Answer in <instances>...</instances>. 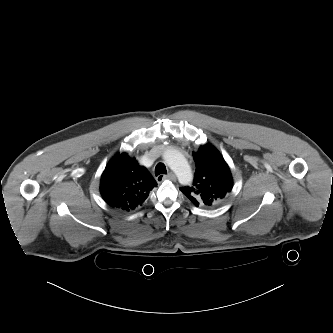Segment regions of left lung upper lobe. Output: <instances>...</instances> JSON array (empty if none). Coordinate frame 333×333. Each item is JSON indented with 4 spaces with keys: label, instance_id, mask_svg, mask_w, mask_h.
I'll return each mask as SVG.
<instances>
[{
    "label": "left lung upper lobe",
    "instance_id": "5c2ea615",
    "mask_svg": "<svg viewBox=\"0 0 333 333\" xmlns=\"http://www.w3.org/2000/svg\"><path fill=\"white\" fill-rule=\"evenodd\" d=\"M196 172L191 187L180 190L196 206L216 207L225 202L233 187L229 166L219 151L205 144L194 153Z\"/></svg>",
    "mask_w": 333,
    "mask_h": 333
}]
</instances>
